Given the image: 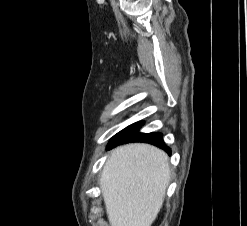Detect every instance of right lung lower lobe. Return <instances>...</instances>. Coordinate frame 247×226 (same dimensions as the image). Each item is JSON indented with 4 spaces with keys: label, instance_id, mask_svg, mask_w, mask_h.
Wrapping results in <instances>:
<instances>
[{
    "label": "right lung lower lobe",
    "instance_id": "obj_1",
    "mask_svg": "<svg viewBox=\"0 0 247 226\" xmlns=\"http://www.w3.org/2000/svg\"><path fill=\"white\" fill-rule=\"evenodd\" d=\"M144 122L134 123L117 133L109 142L107 148L110 149L118 144L126 142H146L164 149L167 153L171 150L164 144L161 133H140L139 128Z\"/></svg>",
    "mask_w": 247,
    "mask_h": 226
}]
</instances>
